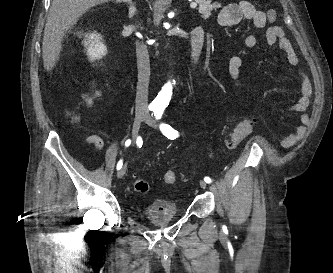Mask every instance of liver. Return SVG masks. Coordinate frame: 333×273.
<instances>
[{"label":"liver","instance_id":"1","mask_svg":"<svg viewBox=\"0 0 333 273\" xmlns=\"http://www.w3.org/2000/svg\"><path fill=\"white\" fill-rule=\"evenodd\" d=\"M108 1L112 0H53L42 42V57L47 71L56 65L62 41L79 18L90 8Z\"/></svg>","mask_w":333,"mask_h":273}]
</instances>
